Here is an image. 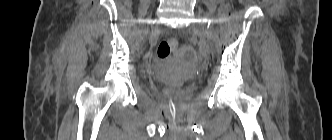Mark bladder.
<instances>
[{
	"instance_id": "bladder-1",
	"label": "bladder",
	"mask_w": 332,
	"mask_h": 140,
	"mask_svg": "<svg viewBox=\"0 0 332 140\" xmlns=\"http://www.w3.org/2000/svg\"><path fill=\"white\" fill-rule=\"evenodd\" d=\"M157 97L160 101L165 102L169 98V93L161 91L157 93ZM187 99H188L187 92H181L174 97L177 106L182 105L184 102L187 101Z\"/></svg>"
}]
</instances>
